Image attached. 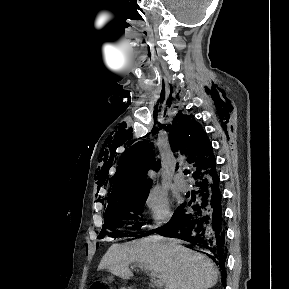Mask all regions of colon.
<instances>
[{
    "mask_svg": "<svg viewBox=\"0 0 289 289\" xmlns=\"http://www.w3.org/2000/svg\"><path fill=\"white\" fill-rule=\"evenodd\" d=\"M90 289H108L107 285L103 282H94L90 286Z\"/></svg>",
    "mask_w": 289,
    "mask_h": 289,
    "instance_id": "5ec220e1",
    "label": "colon"
}]
</instances>
